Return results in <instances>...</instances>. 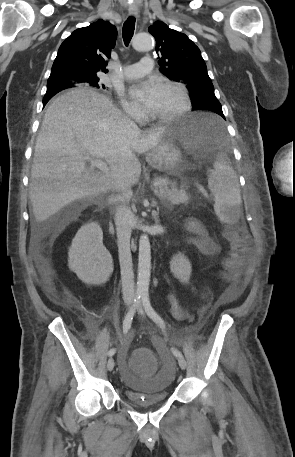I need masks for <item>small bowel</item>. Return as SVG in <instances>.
<instances>
[{"instance_id": "1", "label": "small bowel", "mask_w": 295, "mask_h": 457, "mask_svg": "<svg viewBox=\"0 0 295 457\" xmlns=\"http://www.w3.org/2000/svg\"><path fill=\"white\" fill-rule=\"evenodd\" d=\"M186 230L193 235L191 239L192 243L196 248L206 256H213L219 252V246L215 243L206 233L202 225L195 221L190 220L186 224ZM242 291V287L239 284H232L226 290V296L228 299L236 298ZM168 300L171 306L172 316L177 320L191 321L193 316L190 312L184 309L178 298L174 294L168 295ZM131 335L128 336V339ZM155 342H159L155 339Z\"/></svg>"}]
</instances>
